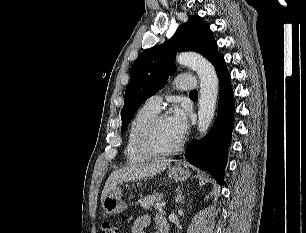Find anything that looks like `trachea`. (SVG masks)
<instances>
[{"instance_id": "obj_1", "label": "trachea", "mask_w": 306, "mask_h": 233, "mask_svg": "<svg viewBox=\"0 0 306 233\" xmlns=\"http://www.w3.org/2000/svg\"><path fill=\"white\" fill-rule=\"evenodd\" d=\"M190 95H198L197 90H193V91H191V92H190Z\"/></svg>"}]
</instances>
